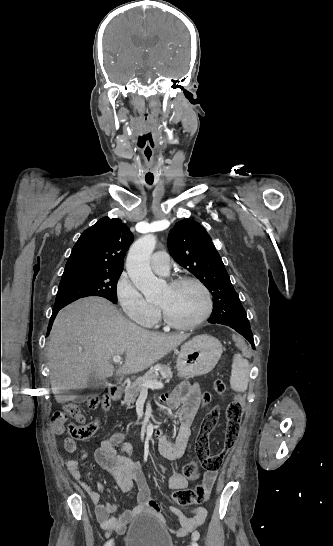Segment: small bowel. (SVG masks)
<instances>
[{
    "label": "small bowel",
    "instance_id": "1",
    "mask_svg": "<svg viewBox=\"0 0 333 546\" xmlns=\"http://www.w3.org/2000/svg\"><path fill=\"white\" fill-rule=\"evenodd\" d=\"M234 345L240 349V353L247 360L251 353V348L245 345L243 334L235 331L232 334ZM162 402L169 408H175L182 405L179 413L180 428L175 441H171L165 435L159 434L158 447L160 453L171 461L179 459L185 452L189 438L191 436L192 424L199 410L201 403V389L197 383L183 382L177 386L171 393L162 396ZM78 421H83L82 414L75 417ZM64 449L68 453L78 452V458H66L65 464L72 477L78 481L88 492L92 503L95 506L97 521L107 534L116 532L122 533L126 525L135 517L143 513H151L169 529L164 513L160 506L150 495V489L141 467L132 460V446L124 440L123 433H117L105 438L100 446L94 452V459L109 472L119 489L124 493H130L134 487L137 488L136 504L133 508L122 512L118 516H112L116 511V506L112 503L103 502L101 493L103 484L99 483L97 490L91 489L82 481L80 466L88 460L85 451L80 450L76 441L71 438H65L63 441ZM200 474L187 478L173 468L168 476V486L172 489L185 488L188 480H196ZM217 473L206 471L202 476V484L207 493H209L216 480ZM168 511L174 514L180 523L179 528L170 529L177 536H185L193 532L206 519L207 512L203 507L193 509L190 516H185L179 509L170 506Z\"/></svg>",
    "mask_w": 333,
    "mask_h": 546
}]
</instances>
